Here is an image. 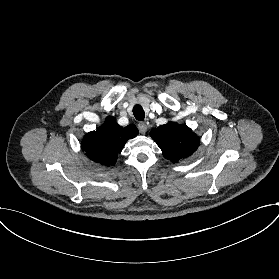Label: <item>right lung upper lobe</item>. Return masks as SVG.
<instances>
[{"label": "right lung upper lobe", "mask_w": 279, "mask_h": 279, "mask_svg": "<svg viewBox=\"0 0 279 279\" xmlns=\"http://www.w3.org/2000/svg\"><path fill=\"white\" fill-rule=\"evenodd\" d=\"M137 134L135 125L122 128L114 117H107L96 131L84 136L82 148L89 159L107 166L114 165L127 140Z\"/></svg>", "instance_id": "obj_1"}]
</instances>
